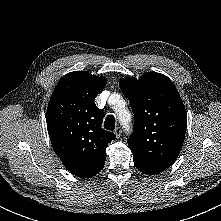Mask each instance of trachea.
Returning a JSON list of instances; mask_svg holds the SVG:
<instances>
[{"label":"trachea","instance_id":"3493384b","mask_svg":"<svg viewBox=\"0 0 221 221\" xmlns=\"http://www.w3.org/2000/svg\"><path fill=\"white\" fill-rule=\"evenodd\" d=\"M104 128L107 130H114L115 129V118L113 115H108L104 121Z\"/></svg>","mask_w":221,"mask_h":221}]
</instances>
